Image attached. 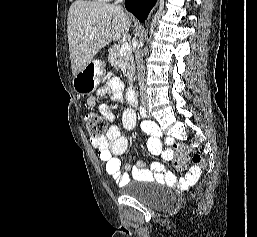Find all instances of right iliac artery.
I'll list each match as a JSON object with an SVG mask.
<instances>
[{
  "label": "right iliac artery",
  "mask_w": 257,
  "mask_h": 237,
  "mask_svg": "<svg viewBox=\"0 0 257 237\" xmlns=\"http://www.w3.org/2000/svg\"><path fill=\"white\" fill-rule=\"evenodd\" d=\"M140 114L143 118H146L147 117V111L144 107H140Z\"/></svg>",
  "instance_id": "obj_1"
}]
</instances>
